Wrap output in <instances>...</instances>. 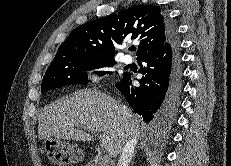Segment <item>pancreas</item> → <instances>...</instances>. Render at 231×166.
<instances>
[{
  "label": "pancreas",
  "mask_w": 231,
  "mask_h": 166,
  "mask_svg": "<svg viewBox=\"0 0 231 166\" xmlns=\"http://www.w3.org/2000/svg\"><path fill=\"white\" fill-rule=\"evenodd\" d=\"M85 166H106L102 163L101 158L90 160Z\"/></svg>",
  "instance_id": "pancreas-1"
}]
</instances>
